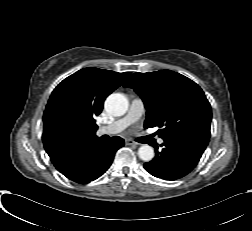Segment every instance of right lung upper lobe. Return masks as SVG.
I'll list each match as a JSON object with an SVG mask.
<instances>
[{
	"instance_id": "1",
	"label": "right lung upper lobe",
	"mask_w": 252,
	"mask_h": 231,
	"mask_svg": "<svg viewBox=\"0 0 252 231\" xmlns=\"http://www.w3.org/2000/svg\"><path fill=\"white\" fill-rule=\"evenodd\" d=\"M129 75L89 67L67 77L54 89L43 115L42 139L58 171L68 165L80 141L97 137L94 117L102 111L106 97Z\"/></svg>"
}]
</instances>
